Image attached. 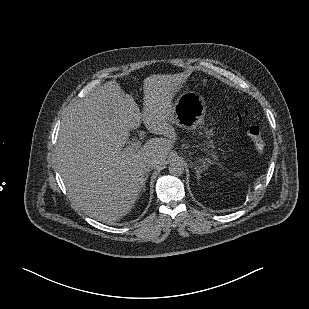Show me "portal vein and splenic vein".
Segmentation results:
<instances>
[{"label":"portal vein and splenic vein","instance_id":"portal-vein-and-splenic-vein-1","mask_svg":"<svg viewBox=\"0 0 309 309\" xmlns=\"http://www.w3.org/2000/svg\"><path fill=\"white\" fill-rule=\"evenodd\" d=\"M140 147H141V142H140V141H137V142H135V143L132 144L131 149H133V150H138V148H140ZM129 148H130V147H129Z\"/></svg>","mask_w":309,"mask_h":309}]
</instances>
